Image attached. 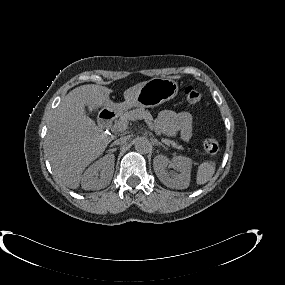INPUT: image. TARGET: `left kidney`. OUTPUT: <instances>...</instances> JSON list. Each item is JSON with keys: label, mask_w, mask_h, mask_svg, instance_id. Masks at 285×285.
Returning a JSON list of instances; mask_svg holds the SVG:
<instances>
[{"label": "left kidney", "mask_w": 285, "mask_h": 285, "mask_svg": "<svg viewBox=\"0 0 285 285\" xmlns=\"http://www.w3.org/2000/svg\"><path fill=\"white\" fill-rule=\"evenodd\" d=\"M171 165L180 174L171 176L166 167ZM154 171L159 180L169 188L186 189L190 183L192 160L184 156H175L170 161L166 156L158 155L153 160Z\"/></svg>", "instance_id": "obj_1"}]
</instances>
